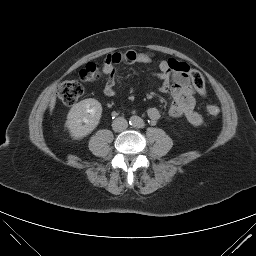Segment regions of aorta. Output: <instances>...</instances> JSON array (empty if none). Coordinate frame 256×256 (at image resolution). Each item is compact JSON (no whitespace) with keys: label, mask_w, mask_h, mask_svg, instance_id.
Instances as JSON below:
<instances>
[{"label":"aorta","mask_w":256,"mask_h":256,"mask_svg":"<svg viewBox=\"0 0 256 256\" xmlns=\"http://www.w3.org/2000/svg\"><path fill=\"white\" fill-rule=\"evenodd\" d=\"M141 122V118L138 117V116H132L130 118V125H133V126H138Z\"/></svg>","instance_id":"obj_1"}]
</instances>
